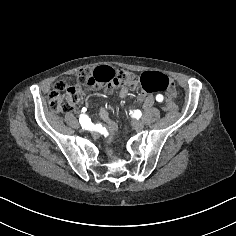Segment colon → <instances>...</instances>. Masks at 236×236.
<instances>
[{"label": "colon", "instance_id": "5ec220e1", "mask_svg": "<svg viewBox=\"0 0 236 236\" xmlns=\"http://www.w3.org/2000/svg\"><path fill=\"white\" fill-rule=\"evenodd\" d=\"M140 80L144 94L138 96L137 100L145 94L167 91L168 96L164 110L173 112L176 104L173 100L175 86L173 81L159 72H144L139 78L126 70L114 69L109 66L97 68L84 67L77 74V84L68 85L58 82L54 85L48 96V104L54 113H66L71 111L79 98H86L94 91H106L118 86H131Z\"/></svg>", "mask_w": 236, "mask_h": 236}]
</instances>
